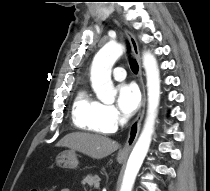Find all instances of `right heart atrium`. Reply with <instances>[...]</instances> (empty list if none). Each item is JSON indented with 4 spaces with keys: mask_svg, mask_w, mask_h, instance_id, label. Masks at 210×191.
I'll return each mask as SVG.
<instances>
[{
    "mask_svg": "<svg viewBox=\"0 0 210 191\" xmlns=\"http://www.w3.org/2000/svg\"><path fill=\"white\" fill-rule=\"evenodd\" d=\"M105 108H106V118L108 119V121L112 124L118 123L120 117L116 108L111 105H106Z\"/></svg>",
    "mask_w": 210,
    "mask_h": 191,
    "instance_id": "d8ad5b80",
    "label": "right heart atrium"
}]
</instances>
